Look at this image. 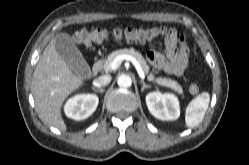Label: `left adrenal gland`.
<instances>
[{"label": "left adrenal gland", "instance_id": "a2214340", "mask_svg": "<svg viewBox=\"0 0 249 165\" xmlns=\"http://www.w3.org/2000/svg\"><path fill=\"white\" fill-rule=\"evenodd\" d=\"M142 88L141 91L143 92L145 89H150L151 85L146 84L143 80H141Z\"/></svg>", "mask_w": 249, "mask_h": 165}]
</instances>
